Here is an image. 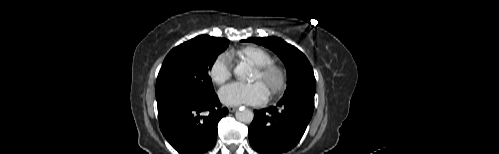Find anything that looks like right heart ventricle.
<instances>
[{
  "mask_svg": "<svg viewBox=\"0 0 499 154\" xmlns=\"http://www.w3.org/2000/svg\"><path fill=\"white\" fill-rule=\"evenodd\" d=\"M230 60L249 62L255 67L264 66L273 61L272 55L259 46H246L227 53Z\"/></svg>",
  "mask_w": 499,
  "mask_h": 154,
  "instance_id": "1",
  "label": "right heart ventricle"
}]
</instances>
